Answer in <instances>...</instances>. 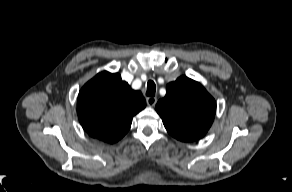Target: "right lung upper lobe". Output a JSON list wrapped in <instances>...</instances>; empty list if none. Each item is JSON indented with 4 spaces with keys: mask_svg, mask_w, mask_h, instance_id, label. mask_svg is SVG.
I'll return each mask as SVG.
<instances>
[{
    "mask_svg": "<svg viewBox=\"0 0 292 192\" xmlns=\"http://www.w3.org/2000/svg\"><path fill=\"white\" fill-rule=\"evenodd\" d=\"M146 101L118 73L97 74L79 92L77 114L83 129L108 143L120 140L130 129L132 118Z\"/></svg>",
    "mask_w": 292,
    "mask_h": 192,
    "instance_id": "obj_1",
    "label": "right lung upper lobe"
}]
</instances>
